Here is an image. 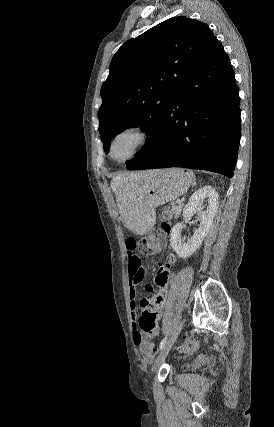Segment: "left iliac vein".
Here are the masks:
<instances>
[{
	"instance_id": "left-iliac-vein-1",
	"label": "left iliac vein",
	"mask_w": 274,
	"mask_h": 427,
	"mask_svg": "<svg viewBox=\"0 0 274 427\" xmlns=\"http://www.w3.org/2000/svg\"><path fill=\"white\" fill-rule=\"evenodd\" d=\"M183 326H184V320L181 318L179 320L176 328L174 329L172 335L169 337L168 341L166 342V344L162 348L159 356L156 358V360H155V362L151 368L152 374L157 372L159 370L160 366L164 363L171 347L175 343V341H176L177 337L179 336V333L181 332Z\"/></svg>"
}]
</instances>
